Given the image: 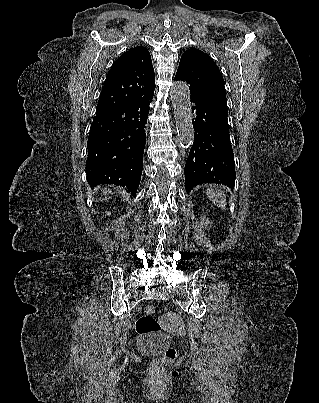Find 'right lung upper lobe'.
Segmentation results:
<instances>
[{
    "label": "right lung upper lobe",
    "mask_w": 319,
    "mask_h": 403,
    "mask_svg": "<svg viewBox=\"0 0 319 403\" xmlns=\"http://www.w3.org/2000/svg\"><path fill=\"white\" fill-rule=\"evenodd\" d=\"M155 77L149 51L137 46L112 65L96 113L125 107L153 96Z\"/></svg>",
    "instance_id": "1"
}]
</instances>
